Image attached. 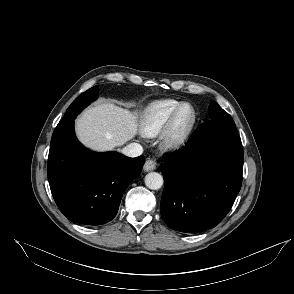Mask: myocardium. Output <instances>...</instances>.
<instances>
[{"label":"myocardium","mask_w":294,"mask_h":294,"mask_svg":"<svg viewBox=\"0 0 294 294\" xmlns=\"http://www.w3.org/2000/svg\"><path fill=\"white\" fill-rule=\"evenodd\" d=\"M190 111L189 116L184 117L185 110ZM197 121V111L188 102L181 103L175 110L160 137V144L166 150L176 149L182 146L189 138Z\"/></svg>","instance_id":"myocardium-1"}]
</instances>
